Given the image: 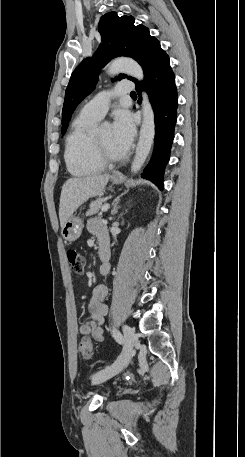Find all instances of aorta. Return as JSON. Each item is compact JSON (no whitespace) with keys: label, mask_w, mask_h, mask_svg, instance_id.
Wrapping results in <instances>:
<instances>
[{"label":"aorta","mask_w":245,"mask_h":457,"mask_svg":"<svg viewBox=\"0 0 245 457\" xmlns=\"http://www.w3.org/2000/svg\"><path fill=\"white\" fill-rule=\"evenodd\" d=\"M107 72L110 75H115L120 72L126 73L140 81L144 79V73L141 66L130 58H119L114 60L110 64ZM141 105L143 121L134 160L131 165L132 173H137L143 166L155 137V116L146 92H142Z\"/></svg>","instance_id":"obj_1"}]
</instances>
